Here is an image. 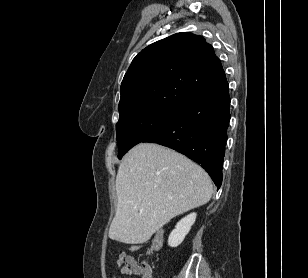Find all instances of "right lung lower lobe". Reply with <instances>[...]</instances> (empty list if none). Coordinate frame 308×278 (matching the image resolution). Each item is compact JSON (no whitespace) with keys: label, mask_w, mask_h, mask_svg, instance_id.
I'll return each instance as SVG.
<instances>
[{"label":"right lung lower lobe","mask_w":308,"mask_h":278,"mask_svg":"<svg viewBox=\"0 0 308 278\" xmlns=\"http://www.w3.org/2000/svg\"><path fill=\"white\" fill-rule=\"evenodd\" d=\"M228 83L178 108L177 115L143 142L170 147L200 163L215 185L222 167L230 121Z\"/></svg>","instance_id":"98d812e1"}]
</instances>
